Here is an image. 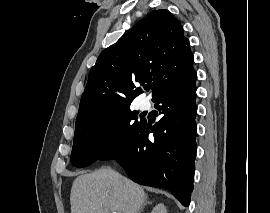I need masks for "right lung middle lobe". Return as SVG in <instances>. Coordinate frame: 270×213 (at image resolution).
I'll use <instances>...</instances> for the list:
<instances>
[{"label":"right lung middle lobe","mask_w":270,"mask_h":213,"mask_svg":"<svg viewBox=\"0 0 270 213\" xmlns=\"http://www.w3.org/2000/svg\"><path fill=\"white\" fill-rule=\"evenodd\" d=\"M142 122L137 120V113L130 110V104L77 122L71 153L72 165L85 167L101 160Z\"/></svg>","instance_id":"obj_1"}]
</instances>
